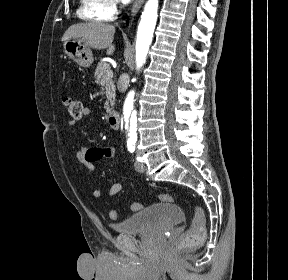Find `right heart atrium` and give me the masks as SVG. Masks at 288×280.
I'll return each instance as SVG.
<instances>
[{
  "instance_id": "1",
  "label": "right heart atrium",
  "mask_w": 288,
  "mask_h": 280,
  "mask_svg": "<svg viewBox=\"0 0 288 280\" xmlns=\"http://www.w3.org/2000/svg\"><path fill=\"white\" fill-rule=\"evenodd\" d=\"M120 0H103V13L105 20H112L119 11Z\"/></svg>"
}]
</instances>
